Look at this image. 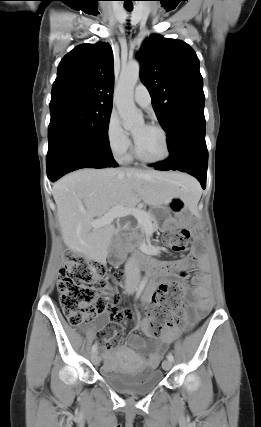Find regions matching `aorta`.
<instances>
[{
	"mask_svg": "<svg viewBox=\"0 0 261 427\" xmlns=\"http://www.w3.org/2000/svg\"><path fill=\"white\" fill-rule=\"evenodd\" d=\"M139 72L140 64L138 61H133L124 66L116 88V107L122 119L123 127L127 130H133L144 124V118L137 110L133 96L134 87L139 79Z\"/></svg>",
	"mask_w": 261,
	"mask_h": 427,
	"instance_id": "1",
	"label": "aorta"
}]
</instances>
